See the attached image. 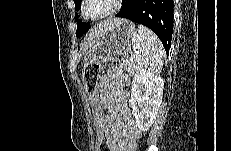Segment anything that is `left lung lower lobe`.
Masks as SVG:
<instances>
[{"instance_id": "left-lung-lower-lobe-1", "label": "left lung lower lobe", "mask_w": 231, "mask_h": 151, "mask_svg": "<svg viewBox=\"0 0 231 151\" xmlns=\"http://www.w3.org/2000/svg\"><path fill=\"white\" fill-rule=\"evenodd\" d=\"M173 6L172 0H135L131 6L122 7L116 17L150 28L168 53L173 33Z\"/></svg>"}]
</instances>
